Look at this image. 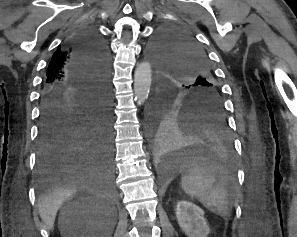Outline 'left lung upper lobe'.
<instances>
[{"label": "left lung upper lobe", "mask_w": 297, "mask_h": 237, "mask_svg": "<svg viewBox=\"0 0 297 237\" xmlns=\"http://www.w3.org/2000/svg\"><path fill=\"white\" fill-rule=\"evenodd\" d=\"M149 54L157 68L158 91L174 103L204 100L223 107L222 92L208 58L190 35L175 28L161 29L150 43Z\"/></svg>", "instance_id": "5c2ea615"}]
</instances>
